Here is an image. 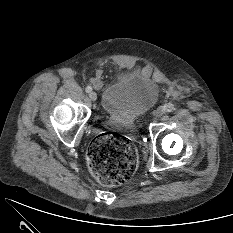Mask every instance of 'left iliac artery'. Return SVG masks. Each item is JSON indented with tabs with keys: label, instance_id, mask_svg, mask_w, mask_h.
<instances>
[{
	"label": "left iliac artery",
	"instance_id": "44dca946",
	"mask_svg": "<svg viewBox=\"0 0 233 233\" xmlns=\"http://www.w3.org/2000/svg\"><path fill=\"white\" fill-rule=\"evenodd\" d=\"M165 110H166L167 112H172V111H174V110H175L174 105L171 104V103H168V104L165 106Z\"/></svg>",
	"mask_w": 233,
	"mask_h": 233
}]
</instances>
